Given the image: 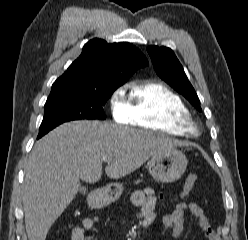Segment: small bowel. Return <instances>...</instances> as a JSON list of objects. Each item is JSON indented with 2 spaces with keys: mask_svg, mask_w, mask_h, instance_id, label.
<instances>
[{
  "mask_svg": "<svg viewBox=\"0 0 248 240\" xmlns=\"http://www.w3.org/2000/svg\"><path fill=\"white\" fill-rule=\"evenodd\" d=\"M158 198H163V195L157 196L153 189L149 187L136 191L132 196L133 204L141 208L143 225L145 227L153 224L157 218L155 207ZM187 210L195 217L199 228L207 240H218L204 211L195 203L179 202L170 213L164 215L162 218L163 227L166 230H170L174 238H179L184 228V214ZM96 220V218H87L74 226L71 232V240H95L86 237L85 231L90 229Z\"/></svg>",
  "mask_w": 248,
  "mask_h": 240,
  "instance_id": "small-bowel-1",
  "label": "small bowel"
}]
</instances>
